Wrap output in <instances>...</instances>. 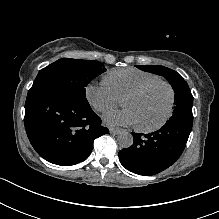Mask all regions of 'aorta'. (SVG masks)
Segmentation results:
<instances>
[{
  "label": "aorta",
  "instance_id": "aorta-1",
  "mask_svg": "<svg viewBox=\"0 0 219 219\" xmlns=\"http://www.w3.org/2000/svg\"><path fill=\"white\" fill-rule=\"evenodd\" d=\"M117 142L121 148H129L133 144V137L128 132H122L118 135Z\"/></svg>",
  "mask_w": 219,
  "mask_h": 219
}]
</instances>
